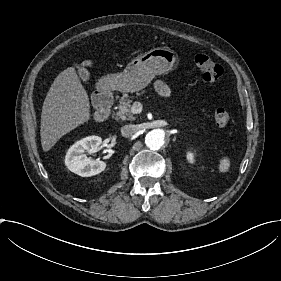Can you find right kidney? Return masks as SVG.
I'll use <instances>...</instances> for the list:
<instances>
[{
    "mask_svg": "<svg viewBox=\"0 0 281 281\" xmlns=\"http://www.w3.org/2000/svg\"><path fill=\"white\" fill-rule=\"evenodd\" d=\"M102 139L98 136H89L77 141L67 151L65 165L67 168L82 177H89L104 171L106 163L100 160L88 158L84 152L93 150L97 152L101 149Z\"/></svg>",
    "mask_w": 281,
    "mask_h": 281,
    "instance_id": "ca27d5eb",
    "label": "right kidney"
}]
</instances>
